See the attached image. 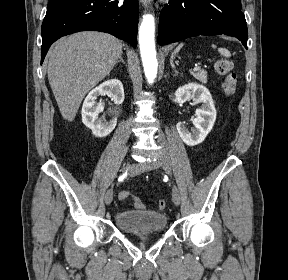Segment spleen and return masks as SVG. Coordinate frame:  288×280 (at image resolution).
Segmentation results:
<instances>
[{
  "label": "spleen",
  "instance_id": "1",
  "mask_svg": "<svg viewBox=\"0 0 288 280\" xmlns=\"http://www.w3.org/2000/svg\"><path fill=\"white\" fill-rule=\"evenodd\" d=\"M183 44H179L177 46V48L175 49V53H177L181 48H182ZM213 48H215L216 46L215 45H212ZM218 51L221 55L225 56V57H230L231 54L230 52L226 49V48H218ZM171 65L172 67H174V64H173V61H172V58H171Z\"/></svg>",
  "mask_w": 288,
  "mask_h": 280
}]
</instances>
